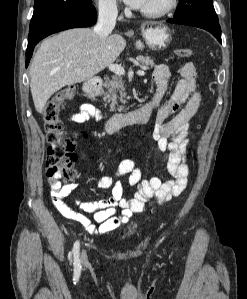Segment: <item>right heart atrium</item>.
<instances>
[{
	"mask_svg": "<svg viewBox=\"0 0 247 299\" xmlns=\"http://www.w3.org/2000/svg\"><path fill=\"white\" fill-rule=\"evenodd\" d=\"M97 8L104 18H114L118 14V3L116 0H97Z\"/></svg>",
	"mask_w": 247,
	"mask_h": 299,
	"instance_id": "obj_1",
	"label": "right heart atrium"
}]
</instances>
